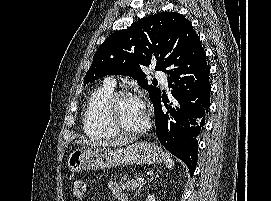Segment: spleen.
Masks as SVG:
<instances>
[{"instance_id":"3e777b00","label":"spleen","mask_w":271,"mask_h":201,"mask_svg":"<svg viewBox=\"0 0 271 201\" xmlns=\"http://www.w3.org/2000/svg\"><path fill=\"white\" fill-rule=\"evenodd\" d=\"M164 164L166 165L167 168H173L174 166V161L173 159L171 158L170 154L168 153H165L163 154V158H162Z\"/></svg>"}]
</instances>
